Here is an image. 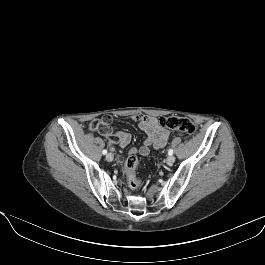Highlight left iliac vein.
<instances>
[{
    "label": "left iliac vein",
    "mask_w": 265,
    "mask_h": 265,
    "mask_svg": "<svg viewBox=\"0 0 265 265\" xmlns=\"http://www.w3.org/2000/svg\"><path fill=\"white\" fill-rule=\"evenodd\" d=\"M174 161H175V157L173 155H169L167 157L166 162H167L168 165H172L174 163Z\"/></svg>",
    "instance_id": "1"
}]
</instances>
